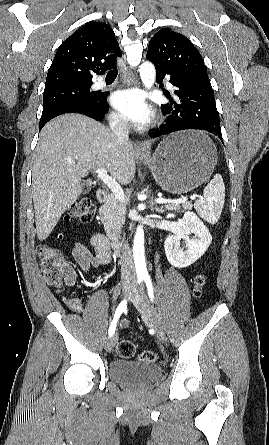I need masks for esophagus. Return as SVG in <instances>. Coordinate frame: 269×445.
<instances>
[{"label": "esophagus", "instance_id": "1", "mask_svg": "<svg viewBox=\"0 0 269 445\" xmlns=\"http://www.w3.org/2000/svg\"><path fill=\"white\" fill-rule=\"evenodd\" d=\"M126 82L128 85H134L137 86L139 85L138 80L136 79V76L134 75V73L132 71L129 70V76L126 79ZM138 148L140 150H145V145L143 143H138Z\"/></svg>", "mask_w": 269, "mask_h": 445}]
</instances>
